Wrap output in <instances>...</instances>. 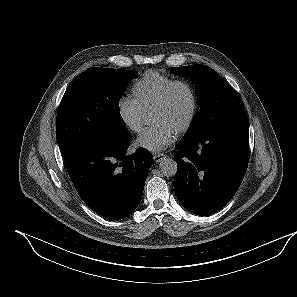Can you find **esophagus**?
<instances>
[{
	"label": "esophagus",
	"instance_id": "obj_1",
	"mask_svg": "<svg viewBox=\"0 0 297 297\" xmlns=\"http://www.w3.org/2000/svg\"><path fill=\"white\" fill-rule=\"evenodd\" d=\"M166 158V155L164 153H159V154H155L153 156V159L156 163L161 162L162 160H164Z\"/></svg>",
	"mask_w": 297,
	"mask_h": 297
}]
</instances>
